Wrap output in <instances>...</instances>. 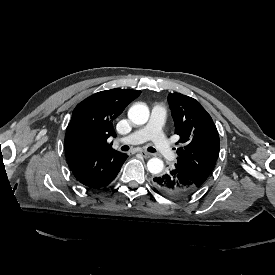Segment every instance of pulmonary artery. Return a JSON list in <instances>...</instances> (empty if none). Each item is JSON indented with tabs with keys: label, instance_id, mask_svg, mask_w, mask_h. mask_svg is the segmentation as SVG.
Listing matches in <instances>:
<instances>
[{
	"label": "pulmonary artery",
	"instance_id": "obj_1",
	"mask_svg": "<svg viewBox=\"0 0 275 275\" xmlns=\"http://www.w3.org/2000/svg\"><path fill=\"white\" fill-rule=\"evenodd\" d=\"M165 111L162 106L157 105L151 111V123L142 128L136 127V129L127 137L118 140V143L123 144H140L144 142L148 137L154 143L157 151L166 157L167 160L172 161L176 157V153L167 144V139L161 131V126L164 124ZM150 131H152L150 133ZM150 134V136H149Z\"/></svg>",
	"mask_w": 275,
	"mask_h": 275
}]
</instances>
